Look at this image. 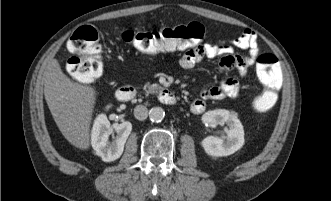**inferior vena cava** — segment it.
Here are the masks:
<instances>
[{"label": "inferior vena cava", "mask_w": 331, "mask_h": 201, "mask_svg": "<svg viewBox=\"0 0 331 201\" xmlns=\"http://www.w3.org/2000/svg\"><path fill=\"white\" fill-rule=\"evenodd\" d=\"M134 116L136 119L143 121L148 117V109L143 105H137L134 108Z\"/></svg>", "instance_id": "inferior-vena-cava-1"}]
</instances>
